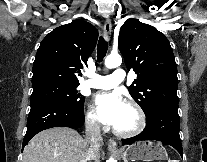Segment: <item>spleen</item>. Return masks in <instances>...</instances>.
<instances>
[{
  "mask_svg": "<svg viewBox=\"0 0 207 162\" xmlns=\"http://www.w3.org/2000/svg\"><path fill=\"white\" fill-rule=\"evenodd\" d=\"M168 162H179L178 160H169Z\"/></svg>",
  "mask_w": 207,
  "mask_h": 162,
  "instance_id": "3e777b00",
  "label": "spleen"
}]
</instances>
